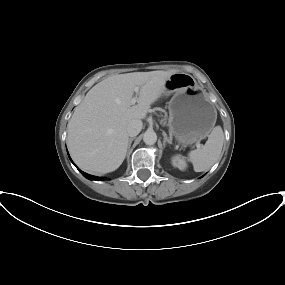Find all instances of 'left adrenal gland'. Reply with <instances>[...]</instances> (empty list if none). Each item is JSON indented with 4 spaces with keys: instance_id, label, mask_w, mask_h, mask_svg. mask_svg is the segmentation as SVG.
<instances>
[{
    "instance_id": "left-adrenal-gland-1",
    "label": "left adrenal gland",
    "mask_w": 285,
    "mask_h": 285,
    "mask_svg": "<svg viewBox=\"0 0 285 285\" xmlns=\"http://www.w3.org/2000/svg\"><path fill=\"white\" fill-rule=\"evenodd\" d=\"M162 134H163V137H164V139H163V145L165 146L166 143L172 144L171 140L168 139L167 134H166L164 131L162 132Z\"/></svg>"
}]
</instances>
